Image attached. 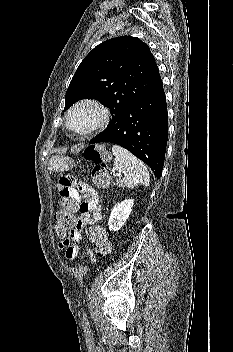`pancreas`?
Here are the masks:
<instances>
[{
  "instance_id": "pancreas-1",
  "label": "pancreas",
  "mask_w": 233,
  "mask_h": 352,
  "mask_svg": "<svg viewBox=\"0 0 233 352\" xmlns=\"http://www.w3.org/2000/svg\"><path fill=\"white\" fill-rule=\"evenodd\" d=\"M121 185H122L121 181H120V180H117L116 186H117V187H120Z\"/></svg>"
}]
</instances>
